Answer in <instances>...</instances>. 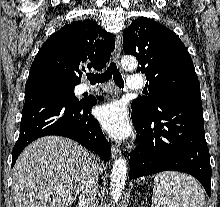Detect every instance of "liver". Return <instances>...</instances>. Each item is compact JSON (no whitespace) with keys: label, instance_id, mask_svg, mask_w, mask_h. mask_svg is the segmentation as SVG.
I'll return each instance as SVG.
<instances>
[{"label":"liver","instance_id":"1","mask_svg":"<svg viewBox=\"0 0 220 207\" xmlns=\"http://www.w3.org/2000/svg\"><path fill=\"white\" fill-rule=\"evenodd\" d=\"M94 160L90 152L67 138L47 136L32 142L13 168L15 207H71L81 177Z\"/></svg>","mask_w":220,"mask_h":207}]
</instances>
